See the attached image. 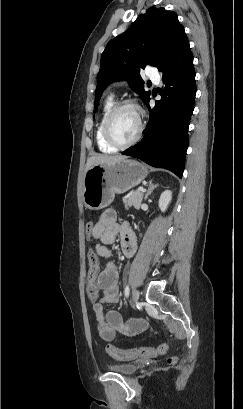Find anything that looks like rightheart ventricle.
Masks as SVG:
<instances>
[{
  "label": "right heart ventricle",
  "instance_id": "right-heart-ventricle-1",
  "mask_svg": "<svg viewBox=\"0 0 243 409\" xmlns=\"http://www.w3.org/2000/svg\"><path fill=\"white\" fill-rule=\"evenodd\" d=\"M113 107V96H109L103 106L102 109V114H101V118L100 121L97 125L96 128V134H95V138H96V143L98 146V149L102 152V153H114L117 151V148L109 145L103 135V125H104V121L105 118L107 116V114L109 113V111L111 110V108Z\"/></svg>",
  "mask_w": 243,
  "mask_h": 409
}]
</instances>
